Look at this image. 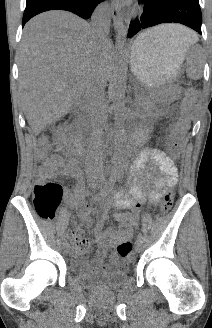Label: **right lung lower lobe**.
Returning <instances> with one entry per match:
<instances>
[{"instance_id": "right-lung-lower-lobe-1", "label": "right lung lower lobe", "mask_w": 212, "mask_h": 328, "mask_svg": "<svg viewBox=\"0 0 212 328\" xmlns=\"http://www.w3.org/2000/svg\"><path fill=\"white\" fill-rule=\"evenodd\" d=\"M103 0H27L22 27L35 15L49 10H66L88 19Z\"/></svg>"}]
</instances>
